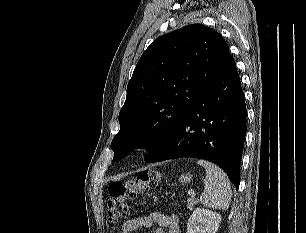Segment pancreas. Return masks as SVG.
Wrapping results in <instances>:
<instances>
[{
  "mask_svg": "<svg viewBox=\"0 0 306 233\" xmlns=\"http://www.w3.org/2000/svg\"><path fill=\"white\" fill-rule=\"evenodd\" d=\"M199 200L197 198H190L187 200V208L192 210L195 205H197Z\"/></svg>",
  "mask_w": 306,
  "mask_h": 233,
  "instance_id": "1",
  "label": "pancreas"
}]
</instances>
